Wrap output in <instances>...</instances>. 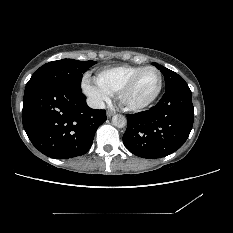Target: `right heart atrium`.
<instances>
[{
	"instance_id": "obj_1",
	"label": "right heart atrium",
	"mask_w": 233,
	"mask_h": 233,
	"mask_svg": "<svg viewBox=\"0 0 233 233\" xmlns=\"http://www.w3.org/2000/svg\"><path fill=\"white\" fill-rule=\"evenodd\" d=\"M84 93L96 106H102L109 100V94L105 92L98 84L94 83L88 76H85L82 82Z\"/></svg>"
}]
</instances>
